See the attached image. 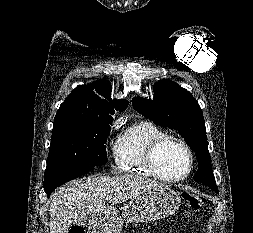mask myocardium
Wrapping results in <instances>:
<instances>
[{
	"label": "myocardium",
	"instance_id": "myocardium-1",
	"mask_svg": "<svg viewBox=\"0 0 253 233\" xmlns=\"http://www.w3.org/2000/svg\"><path fill=\"white\" fill-rule=\"evenodd\" d=\"M169 145H176L183 148L188 155L189 167L185 172V174L182 176L178 177L166 176L161 172L158 166L157 158L159 153L161 152V150H163L165 147ZM146 163L149 169L153 172V174L157 178L166 182H179L186 179L192 173L195 164V158L191 147L186 142L173 136H166L151 143L147 152Z\"/></svg>",
	"mask_w": 253,
	"mask_h": 233
}]
</instances>
